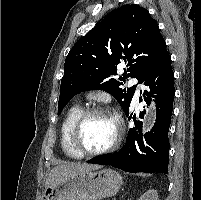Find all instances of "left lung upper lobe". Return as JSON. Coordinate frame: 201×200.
<instances>
[{
	"instance_id": "obj_1",
	"label": "left lung upper lobe",
	"mask_w": 201,
	"mask_h": 200,
	"mask_svg": "<svg viewBox=\"0 0 201 200\" xmlns=\"http://www.w3.org/2000/svg\"><path fill=\"white\" fill-rule=\"evenodd\" d=\"M166 52L157 22L145 8L127 4L112 11L67 55L58 114L73 96L88 90L110 93L127 113L136 86L122 88L123 82L132 77L142 83ZM120 63L127 64L119 78L123 82L112 78Z\"/></svg>"
}]
</instances>
